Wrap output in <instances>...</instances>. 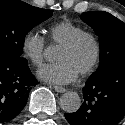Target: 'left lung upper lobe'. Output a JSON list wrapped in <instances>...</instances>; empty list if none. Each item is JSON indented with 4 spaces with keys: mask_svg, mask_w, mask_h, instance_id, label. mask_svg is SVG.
I'll list each match as a JSON object with an SVG mask.
<instances>
[{
    "mask_svg": "<svg viewBox=\"0 0 125 125\" xmlns=\"http://www.w3.org/2000/svg\"><path fill=\"white\" fill-rule=\"evenodd\" d=\"M80 18L100 37V63L90 78L109 68L125 66V23L104 11L82 13Z\"/></svg>",
    "mask_w": 125,
    "mask_h": 125,
    "instance_id": "left-lung-upper-lobe-1",
    "label": "left lung upper lobe"
}]
</instances>
